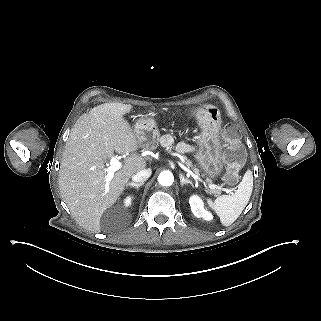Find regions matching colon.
<instances>
[{"label": "colon", "instance_id": "colon-1", "mask_svg": "<svg viewBox=\"0 0 321 321\" xmlns=\"http://www.w3.org/2000/svg\"><path fill=\"white\" fill-rule=\"evenodd\" d=\"M226 148L222 154V159L227 164L228 169L225 179L234 182L238 177V168L243 162V149L238 141V132L233 126L226 128L224 132Z\"/></svg>", "mask_w": 321, "mask_h": 321}]
</instances>
